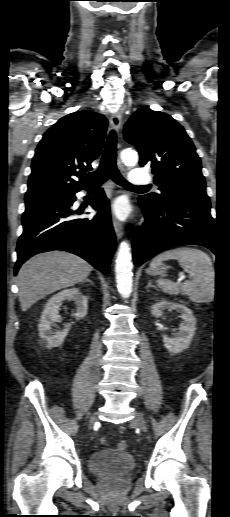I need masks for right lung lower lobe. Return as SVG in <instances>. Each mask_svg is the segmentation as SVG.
Here are the masks:
<instances>
[{"instance_id":"98d812e1","label":"right lung lower lobe","mask_w":230,"mask_h":517,"mask_svg":"<svg viewBox=\"0 0 230 517\" xmlns=\"http://www.w3.org/2000/svg\"><path fill=\"white\" fill-rule=\"evenodd\" d=\"M76 192L25 203L15 274L31 256L51 250L74 253L99 271L109 272L116 245L109 200L101 189L90 203L97 215L93 219L75 218L70 206L76 200Z\"/></svg>"}]
</instances>
